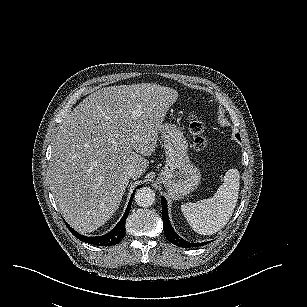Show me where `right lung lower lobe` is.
I'll use <instances>...</instances> for the list:
<instances>
[{
    "mask_svg": "<svg viewBox=\"0 0 307 307\" xmlns=\"http://www.w3.org/2000/svg\"><path fill=\"white\" fill-rule=\"evenodd\" d=\"M140 187H142V186L140 185L137 188H140ZM135 192H136V190L131 195L130 201H129L128 206L126 208V211H125L123 217L121 218V220L119 221V223L116 225V227H114L110 232H108L105 235L96 236V237H86V236H83V235L77 233L76 231H74L66 222H65V224L68 227V229L79 240H81L85 243L96 245V246L115 245V244L119 243L125 236V219L127 218L128 212L130 211L131 203H132L133 196H134Z\"/></svg>",
    "mask_w": 307,
    "mask_h": 307,
    "instance_id": "right-lung-lower-lobe-1",
    "label": "right lung lower lobe"
}]
</instances>
